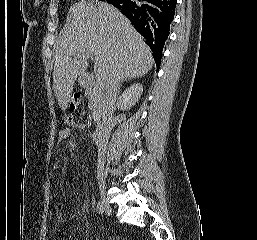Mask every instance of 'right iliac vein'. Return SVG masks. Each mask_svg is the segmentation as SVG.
<instances>
[{
	"label": "right iliac vein",
	"mask_w": 257,
	"mask_h": 240,
	"mask_svg": "<svg viewBox=\"0 0 257 240\" xmlns=\"http://www.w3.org/2000/svg\"><path fill=\"white\" fill-rule=\"evenodd\" d=\"M100 191H101V203H102L103 209L107 214L110 215L112 213V208L106 200L104 187H100Z\"/></svg>",
	"instance_id": "right-iliac-vein-1"
}]
</instances>
